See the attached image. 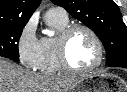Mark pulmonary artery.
Instances as JSON below:
<instances>
[{"label": "pulmonary artery", "instance_id": "1", "mask_svg": "<svg viewBox=\"0 0 127 92\" xmlns=\"http://www.w3.org/2000/svg\"><path fill=\"white\" fill-rule=\"evenodd\" d=\"M47 13H52V14H57L62 17H67L66 12L60 7H52L47 11Z\"/></svg>", "mask_w": 127, "mask_h": 92}]
</instances>
